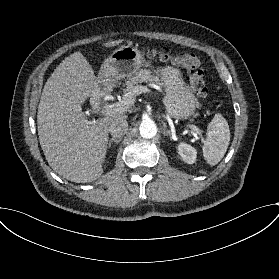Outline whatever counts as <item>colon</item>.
<instances>
[{"label": "colon", "instance_id": "obj_1", "mask_svg": "<svg viewBox=\"0 0 279 279\" xmlns=\"http://www.w3.org/2000/svg\"><path fill=\"white\" fill-rule=\"evenodd\" d=\"M144 55L156 58L160 61L171 62L176 66L189 71V81L193 92L201 99L208 94L207 80L201 66V61L194 53L173 51L166 47H145Z\"/></svg>", "mask_w": 279, "mask_h": 279}]
</instances>
